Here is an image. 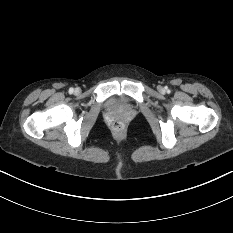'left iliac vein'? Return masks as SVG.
I'll list each match as a JSON object with an SVG mask.
<instances>
[{
  "label": "left iliac vein",
  "instance_id": "left-iliac-vein-1",
  "mask_svg": "<svg viewBox=\"0 0 233 233\" xmlns=\"http://www.w3.org/2000/svg\"><path fill=\"white\" fill-rule=\"evenodd\" d=\"M159 90H160L161 92H163V91H164V89H163L162 87H160V88H159Z\"/></svg>",
  "mask_w": 233,
  "mask_h": 233
}]
</instances>
